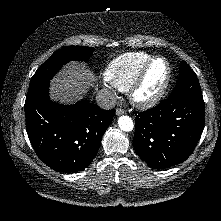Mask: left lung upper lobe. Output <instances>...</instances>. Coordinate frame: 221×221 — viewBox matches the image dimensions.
Instances as JSON below:
<instances>
[{"label":"left lung upper lobe","mask_w":221,"mask_h":221,"mask_svg":"<svg viewBox=\"0 0 221 221\" xmlns=\"http://www.w3.org/2000/svg\"><path fill=\"white\" fill-rule=\"evenodd\" d=\"M177 84L169 97L187 96L203 100L198 79L185 61L181 62Z\"/></svg>","instance_id":"left-lung-upper-lobe-1"}]
</instances>
